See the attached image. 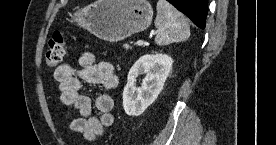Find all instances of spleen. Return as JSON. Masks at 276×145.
<instances>
[{
  "label": "spleen",
  "instance_id": "3e777b00",
  "mask_svg": "<svg viewBox=\"0 0 276 145\" xmlns=\"http://www.w3.org/2000/svg\"><path fill=\"white\" fill-rule=\"evenodd\" d=\"M155 26L158 29L155 37L157 45L183 42L190 37V28L185 17L166 0L157 2Z\"/></svg>",
  "mask_w": 276,
  "mask_h": 145
}]
</instances>
